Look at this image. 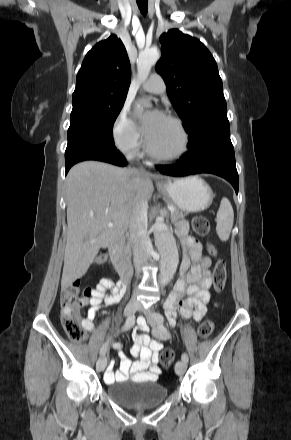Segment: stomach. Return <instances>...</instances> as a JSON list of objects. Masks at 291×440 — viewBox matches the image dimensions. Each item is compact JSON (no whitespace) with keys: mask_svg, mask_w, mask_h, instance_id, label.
Wrapping results in <instances>:
<instances>
[{"mask_svg":"<svg viewBox=\"0 0 291 440\" xmlns=\"http://www.w3.org/2000/svg\"><path fill=\"white\" fill-rule=\"evenodd\" d=\"M158 190L184 212L203 211L214 198L211 187L199 176L169 179L158 185Z\"/></svg>","mask_w":291,"mask_h":440,"instance_id":"obj_1","label":"stomach"}]
</instances>
